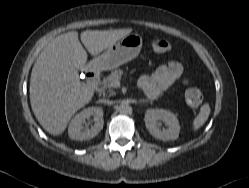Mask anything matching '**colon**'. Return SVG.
Segmentation results:
<instances>
[{
  "mask_svg": "<svg viewBox=\"0 0 249 188\" xmlns=\"http://www.w3.org/2000/svg\"><path fill=\"white\" fill-rule=\"evenodd\" d=\"M150 47L156 52H166L170 48V44L164 39H153L149 42ZM186 101L192 107L199 106L203 101L200 90L191 88L186 91Z\"/></svg>",
  "mask_w": 249,
  "mask_h": 188,
  "instance_id": "1",
  "label": "colon"
}]
</instances>
